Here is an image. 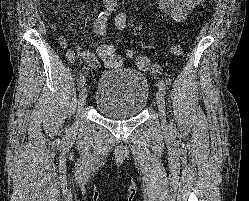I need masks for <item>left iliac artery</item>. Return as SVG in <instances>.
<instances>
[{
    "instance_id": "obj_1",
    "label": "left iliac artery",
    "mask_w": 249,
    "mask_h": 201,
    "mask_svg": "<svg viewBox=\"0 0 249 201\" xmlns=\"http://www.w3.org/2000/svg\"><path fill=\"white\" fill-rule=\"evenodd\" d=\"M115 22H116V26L119 28V29H124L125 26H126V14L125 12H121L117 15L116 19H115ZM158 87L159 89L164 93L166 94V85L164 83L163 80H159L158 82ZM171 132H175L176 129H175V126L172 124L171 125Z\"/></svg>"
}]
</instances>
